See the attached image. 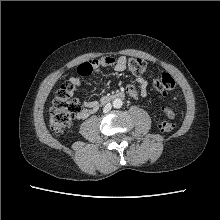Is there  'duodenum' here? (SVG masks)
Masks as SVG:
<instances>
[{
    "label": "duodenum",
    "mask_w": 220,
    "mask_h": 220,
    "mask_svg": "<svg viewBox=\"0 0 220 220\" xmlns=\"http://www.w3.org/2000/svg\"><path fill=\"white\" fill-rule=\"evenodd\" d=\"M123 97H124V94L122 92L116 93V94L110 95V96H105L101 99L99 106L105 105L116 98H123Z\"/></svg>",
    "instance_id": "410a0bca"
}]
</instances>
